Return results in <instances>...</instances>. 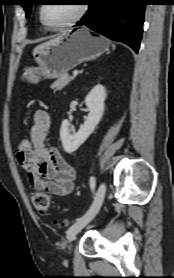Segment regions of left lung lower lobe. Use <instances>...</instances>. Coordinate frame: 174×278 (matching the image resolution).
Listing matches in <instances>:
<instances>
[{
  "instance_id": "obj_1",
  "label": "left lung lower lobe",
  "mask_w": 174,
  "mask_h": 278,
  "mask_svg": "<svg viewBox=\"0 0 174 278\" xmlns=\"http://www.w3.org/2000/svg\"><path fill=\"white\" fill-rule=\"evenodd\" d=\"M147 0H87L88 12L77 22L138 52Z\"/></svg>"
}]
</instances>
